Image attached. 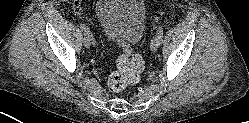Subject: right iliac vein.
Listing matches in <instances>:
<instances>
[{
    "mask_svg": "<svg viewBox=\"0 0 249 123\" xmlns=\"http://www.w3.org/2000/svg\"><path fill=\"white\" fill-rule=\"evenodd\" d=\"M85 47L89 48L91 46V38L89 35L85 34L83 39Z\"/></svg>",
    "mask_w": 249,
    "mask_h": 123,
    "instance_id": "obj_1",
    "label": "right iliac vein"
}]
</instances>
